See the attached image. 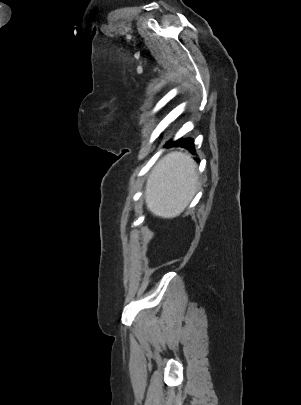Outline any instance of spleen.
<instances>
[{
  "label": "spleen",
  "mask_w": 301,
  "mask_h": 405,
  "mask_svg": "<svg viewBox=\"0 0 301 405\" xmlns=\"http://www.w3.org/2000/svg\"><path fill=\"white\" fill-rule=\"evenodd\" d=\"M198 186L196 164L189 154L172 152L152 170L146 186V204L156 216L179 215Z\"/></svg>",
  "instance_id": "obj_1"
}]
</instances>
